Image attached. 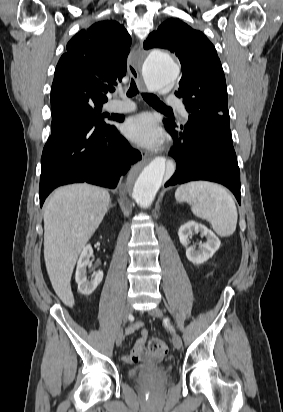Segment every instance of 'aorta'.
I'll return each mask as SVG.
<instances>
[{
	"label": "aorta",
	"mask_w": 283,
	"mask_h": 412,
	"mask_svg": "<svg viewBox=\"0 0 283 412\" xmlns=\"http://www.w3.org/2000/svg\"><path fill=\"white\" fill-rule=\"evenodd\" d=\"M142 74L148 89L159 92L174 85L179 76V68L168 53L154 50L145 59ZM165 171V158L157 157L149 164L132 172L129 187L137 204L143 208H148L152 204L162 184Z\"/></svg>",
	"instance_id": "1"
}]
</instances>
